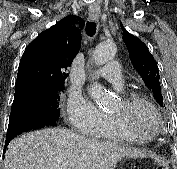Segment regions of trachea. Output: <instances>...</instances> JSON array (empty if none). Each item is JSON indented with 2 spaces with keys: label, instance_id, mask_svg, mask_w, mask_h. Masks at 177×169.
I'll list each match as a JSON object with an SVG mask.
<instances>
[{
  "label": "trachea",
  "instance_id": "obj_1",
  "mask_svg": "<svg viewBox=\"0 0 177 169\" xmlns=\"http://www.w3.org/2000/svg\"><path fill=\"white\" fill-rule=\"evenodd\" d=\"M85 30H86V33H87L88 36H90V37L93 36L96 32V23L88 21L86 23V29Z\"/></svg>",
  "mask_w": 177,
  "mask_h": 169
}]
</instances>
